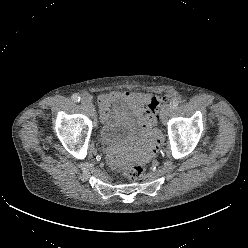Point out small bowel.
Segmentation results:
<instances>
[{"label":"small bowel","mask_w":248,"mask_h":248,"mask_svg":"<svg viewBox=\"0 0 248 248\" xmlns=\"http://www.w3.org/2000/svg\"><path fill=\"white\" fill-rule=\"evenodd\" d=\"M151 97L148 94L140 92H117L111 91L103 93L98 98V105L100 109L101 118L103 120L108 119L114 112L115 104L119 101L127 104L132 114L139 118L146 112L149 106ZM147 128L144 134L143 147L149 145L152 149H156L160 143V135L157 130L149 129V126L145 124ZM108 159L111 164H114L118 160V155L115 151H110Z\"/></svg>","instance_id":"1"}]
</instances>
